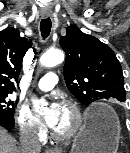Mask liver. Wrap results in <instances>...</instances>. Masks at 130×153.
Masks as SVG:
<instances>
[{
    "label": "liver",
    "mask_w": 130,
    "mask_h": 153,
    "mask_svg": "<svg viewBox=\"0 0 130 153\" xmlns=\"http://www.w3.org/2000/svg\"><path fill=\"white\" fill-rule=\"evenodd\" d=\"M0 153H21L16 146V140L0 126Z\"/></svg>",
    "instance_id": "6515ba94"
}]
</instances>
